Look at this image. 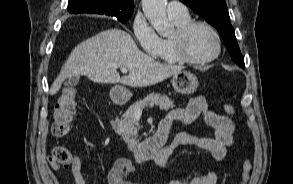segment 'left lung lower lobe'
I'll return each instance as SVG.
<instances>
[{
    "instance_id": "0a47b994",
    "label": "left lung lower lobe",
    "mask_w": 293,
    "mask_h": 184,
    "mask_svg": "<svg viewBox=\"0 0 293 184\" xmlns=\"http://www.w3.org/2000/svg\"><path fill=\"white\" fill-rule=\"evenodd\" d=\"M242 68H244L245 67V65H243V66H241Z\"/></svg>"
}]
</instances>
